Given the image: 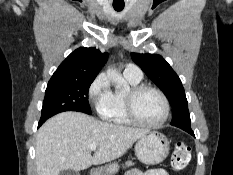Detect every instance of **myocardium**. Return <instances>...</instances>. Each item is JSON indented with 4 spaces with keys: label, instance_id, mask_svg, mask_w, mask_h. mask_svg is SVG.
<instances>
[{
    "label": "myocardium",
    "instance_id": "f54148a6",
    "mask_svg": "<svg viewBox=\"0 0 233 175\" xmlns=\"http://www.w3.org/2000/svg\"><path fill=\"white\" fill-rule=\"evenodd\" d=\"M145 90H152L156 92L162 99V102L164 105V114L162 118L156 123L142 122L137 116L136 109H135L136 99ZM125 110L132 124L137 125L142 128H146V129H155V128L161 127L168 120V117L170 114V103H169V100L166 94L158 87H155L149 84H138V85L130 87L129 90L126 92Z\"/></svg>",
    "mask_w": 233,
    "mask_h": 175
}]
</instances>
